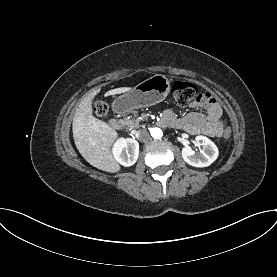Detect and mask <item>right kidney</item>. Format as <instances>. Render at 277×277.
<instances>
[{
    "instance_id": "right-kidney-1",
    "label": "right kidney",
    "mask_w": 277,
    "mask_h": 277,
    "mask_svg": "<svg viewBox=\"0 0 277 277\" xmlns=\"http://www.w3.org/2000/svg\"><path fill=\"white\" fill-rule=\"evenodd\" d=\"M112 153L121 165L125 167L132 166L139 156V143L132 138H120L114 143Z\"/></svg>"
}]
</instances>
